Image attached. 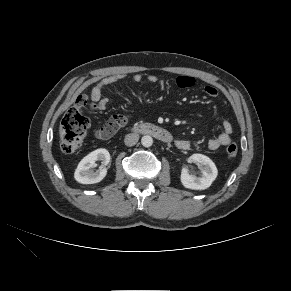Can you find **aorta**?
I'll return each mask as SVG.
<instances>
[{"mask_svg":"<svg viewBox=\"0 0 291 291\" xmlns=\"http://www.w3.org/2000/svg\"><path fill=\"white\" fill-rule=\"evenodd\" d=\"M141 144L144 147H150L153 144V138L151 136H149V135H145L141 139Z\"/></svg>","mask_w":291,"mask_h":291,"instance_id":"762f6f07","label":"aorta"}]
</instances>
